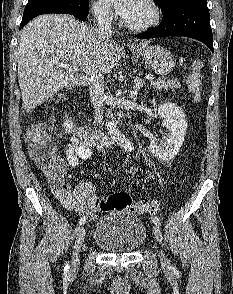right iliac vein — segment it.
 I'll return each instance as SVG.
<instances>
[{
	"instance_id": "right-iliac-vein-1",
	"label": "right iliac vein",
	"mask_w": 233,
	"mask_h": 294,
	"mask_svg": "<svg viewBox=\"0 0 233 294\" xmlns=\"http://www.w3.org/2000/svg\"><path fill=\"white\" fill-rule=\"evenodd\" d=\"M86 235V231L84 227H81L78 231L76 241H75V246H74V252H73V257H72V262H71V268L73 270H76L79 267L80 264V249L81 246L84 242Z\"/></svg>"
}]
</instances>
